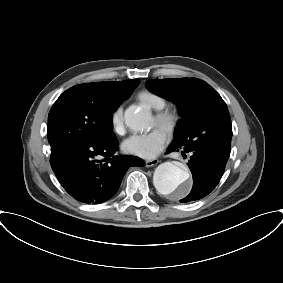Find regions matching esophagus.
I'll return each mask as SVG.
<instances>
[{
  "mask_svg": "<svg viewBox=\"0 0 283 283\" xmlns=\"http://www.w3.org/2000/svg\"><path fill=\"white\" fill-rule=\"evenodd\" d=\"M158 163H159L158 159L147 160V161H145V166L146 167H152V166L157 165Z\"/></svg>",
  "mask_w": 283,
  "mask_h": 283,
  "instance_id": "obj_1",
  "label": "esophagus"
}]
</instances>
